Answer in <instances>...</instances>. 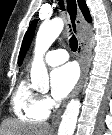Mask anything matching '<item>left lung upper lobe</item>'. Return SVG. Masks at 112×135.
Instances as JSON below:
<instances>
[{"label":"left lung upper lobe","instance_id":"left-lung-upper-lobe-1","mask_svg":"<svg viewBox=\"0 0 112 135\" xmlns=\"http://www.w3.org/2000/svg\"><path fill=\"white\" fill-rule=\"evenodd\" d=\"M36 22L37 21L35 20L30 24V26H29V28H28L25 36H24L22 46H21V50H20V53H19L18 64L22 63L23 57H24V55L26 54V52H27V50L29 48V45H30L31 40H32L33 35H34Z\"/></svg>","mask_w":112,"mask_h":135}]
</instances>
